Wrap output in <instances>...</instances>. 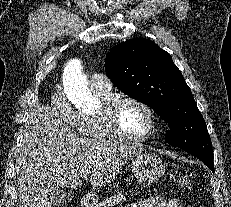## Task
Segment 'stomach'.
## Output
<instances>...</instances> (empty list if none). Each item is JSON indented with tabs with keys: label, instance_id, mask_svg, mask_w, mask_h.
<instances>
[{
	"label": "stomach",
	"instance_id": "0dacf381",
	"mask_svg": "<svg viewBox=\"0 0 231 207\" xmlns=\"http://www.w3.org/2000/svg\"><path fill=\"white\" fill-rule=\"evenodd\" d=\"M131 171L139 183L157 182L165 172V164L160 156L147 150H139L131 155Z\"/></svg>",
	"mask_w": 231,
	"mask_h": 207
}]
</instances>
